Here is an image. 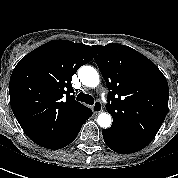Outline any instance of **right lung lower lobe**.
<instances>
[{
    "label": "right lung lower lobe",
    "mask_w": 178,
    "mask_h": 178,
    "mask_svg": "<svg viewBox=\"0 0 178 178\" xmlns=\"http://www.w3.org/2000/svg\"><path fill=\"white\" fill-rule=\"evenodd\" d=\"M92 115V113H89L87 116H86V119L85 121ZM82 127V126H81ZM81 127L70 137L68 138L67 140L63 141V142H60V143H56V144H52V145H49V146H45V148H48V149H60V148H63L65 146H67L68 144H70L77 136V134L79 133Z\"/></svg>",
    "instance_id": "98d812e1"
}]
</instances>
